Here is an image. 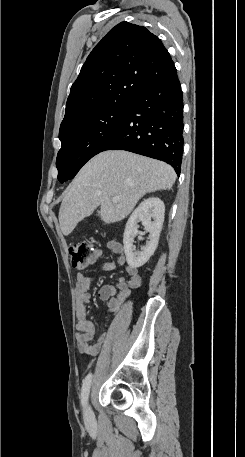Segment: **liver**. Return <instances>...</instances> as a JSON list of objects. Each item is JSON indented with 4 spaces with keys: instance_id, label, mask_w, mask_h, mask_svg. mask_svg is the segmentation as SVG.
I'll return each mask as SVG.
<instances>
[{
    "instance_id": "1",
    "label": "liver",
    "mask_w": 245,
    "mask_h": 457,
    "mask_svg": "<svg viewBox=\"0 0 245 457\" xmlns=\"http://www.w3.org/2000/svg\"><path fill=\"white\" fill-rule=\"evenodd\" d=\"M170 164L127 150H104L93 156L67 186L59 208L60 229L67 237L79 220L98 210L104 222L122 220L146 192L171 188ZM119 196V202H112Z\"/></svg>"
}]
</instances>
